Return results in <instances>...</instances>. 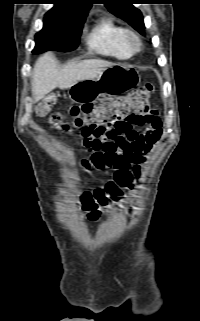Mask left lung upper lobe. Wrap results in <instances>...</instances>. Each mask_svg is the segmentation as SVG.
Instances as JSON below:
<instances>
[{
	"label": "left lung upper lobe",
	"mask_w": 200,
	"mask_h": 321,
	"mask_svg": "<svg viewBox=\"0 0 200 321\" xmlns=\"http://www.w3.org/2000/svg\"><path fill=\"white\" fill-rule=\"evenodd\" d=\"M108 10L128 22L133 28L144 34V21L141 11L135 8L132 0H101Z\"/></svg>",
	"instance_id": "5c2ea615"
}]
</instances>
